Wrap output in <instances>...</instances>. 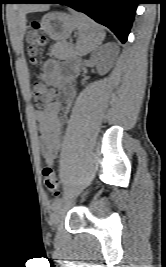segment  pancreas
Wrapping results in <instances>:
<instances>
[{"instance_id": "pancreas-1", "label": "pancreas", "mask_w": 166, "mask_h": 267, "mask_svg": "<svg viewBox=\"0 0 166 267\" xmlns=\"http://www.w3.org/2000/svg\"><path fill=\"white\" fill-rule=\"evenodd\" d=\"M51 54L58 59H70L75 56L74 49L65 42H57L51 47Z\"/></svg>"}]
</instances>
